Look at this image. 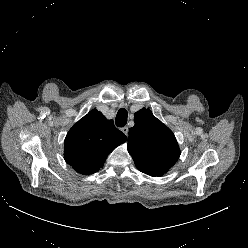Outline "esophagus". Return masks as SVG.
<instances>
[{
  "label": "esophagus",
  "mask_w": 248,
  "mask_h": 248,
  "mask_svg": "<svg viewBox=\"0 0 248 248\" xmlns=\"http://www.w3.org/2000/svg\"><path fill=\"white\" fill-rule=\"evenodd\" d=\"M121 131L127 136L128 135V132H129V129L127 126L121 128Z\"/></svg>",
  "instance_id": "34e87169"
}]
</instances>
